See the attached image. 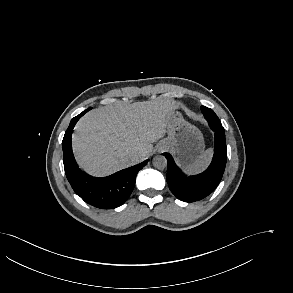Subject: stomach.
<instances>
[{
    "label": "stomach",
    "mask_w": 293,
    "mask_h": 293,
    "mask_svg": "<svg viewBox=\"0 0 293 293\" xmlns=\"http://www.w3.org/2000/svg\"><path fill=\"white\" fill-rule=\"evenodd\" d=\"M168 137L159 145L165 144L166 149L175 155L179 165L188 168L204 153V139L198 128L185 121L179 112L168 116Z\"/></svg>",
    "instance_id": "obj_1"
}]
</instances>
